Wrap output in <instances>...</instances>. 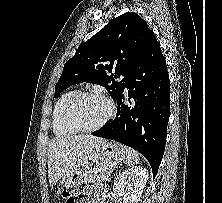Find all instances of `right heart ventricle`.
<instances>
[{
	"instance_id": "1",
	"label": "right heart ventricle",
	"mask_w": 222,
	"mask_h": 203,
	"mask_svg": "<svg viewBox=\"0 0 222 203\" xmlns=\"http://www.w3.org/2000/svg\"><path fill=\"white\" fill-rule=\"evenodd\" d=\"M77 90H69L63 93L55 104L52 114V127L56 136L65 137L76 133L75 130L69 128L63 119V112L67 102L77 93Z\"/></svg>"
}]
</instances>
